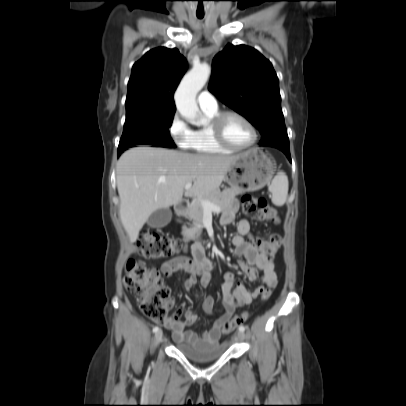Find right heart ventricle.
<instances>
[{"instance_id":"right-heart-ventricle-1","label":"right heart ventricle","mask_w":406,"mask_h":406,"mask_svg":"<svg viewBox=\"0 0 406 406\" xmlns=\"http://www.w3.org/2000/svg\"><path fill=\"white\" fill-rule=\"evenodd\" d=\"M203 112L208 120V123L197 128L192 132L191 140L187 148L197 153H207V154L231 153L232 150L226 149L216 142L211 130L210 123L211 120L219 113L218 108L203 109Z\"/></svg>"}]
</instances>
